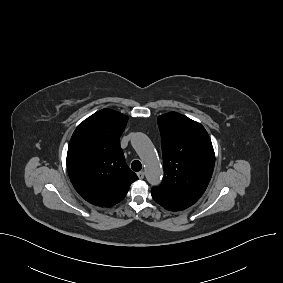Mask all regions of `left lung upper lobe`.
Segmentation results:
<instances>
[{
	"instance_id": "5c2ea615",
	"label": "left lung upper lobe",
	"mask_w": 283,
	"mask_h": 283,
	"mask_svg": "<svg viewBox=\"0 0 283 283\" xmlns=\"http://www.w3.org/2000/svg\"><path fill=\"white\" fill-rule=\"evenodd\" d=\"M164 178L151 189L175 211L196 203L212 177L215 154L211 139L198 122L176 112L158 117Z\"/></svg>"
}]
</instances>
